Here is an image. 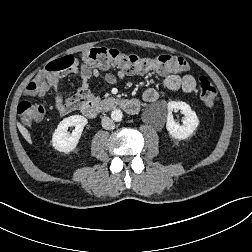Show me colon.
I'll return each instance as SVG.
<instances>
[{
	"instance_id": "1",
	"label": "colon",
	"mask_w": 252,
	"mask_h": 252,
	"mask_svg": "<svg viewBox=\"0 0 252 252\" xmlns=\"http://www.w3.org/2000/svg\"><path fill=\"white\" fill-rule=\"evenodd\" d=\"M84 64L95 68L107 69L116 67L124 72L179 73L188 70L189 65L182 57L172 55H158L155 57H143L135 53H124L114 48L94 47L81 53ZM75 60L72 56H65L46 65L26 88V95L18 105V114L23 124L30 126L39 122L45 113V104L34 102V97L44 95L49 87L59 77L70 69ZM198 91L202 102L209 108H213L218 101V93L214 85L205 76L198 79Z\"/></svg>"
}]
</instances>
